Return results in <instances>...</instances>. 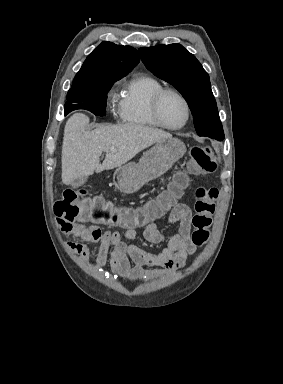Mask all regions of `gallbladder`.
<instances>
[{"mask_svg": "<svg viewBox=\"0 0 283 384\" xmlns=\"http://www.w3.org/2000/svg\"><path fill=\"white\" fill-rule=\"evenodd\" d=\"M85 182H87L86 178H80V180H74V182H71V186L72 188H79V186H82Z\"/></svg>", "mask_w": 283, "mask_h": 384, "instance_id": "bac80fb5", "label": "gallbladder"}]
</instances>
